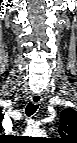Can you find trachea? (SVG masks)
<instances>
[{
    "instance_id": "obj_1",
    "label": "trachea",
    "mask_w": 77,
    "mask_h": 143,
    "mask_svg": "<svg viewBox=\"0 0 77 143\" xmlns=\"http://www.w3.org/2000/svg\"><path fill=\"white\" fill-rule=\"evenodd\" d=\"M37 109H38V104H33L32 102H29L25 108V113L27 116H31L37 111Z\"/></svg>"
}]
</instances>
